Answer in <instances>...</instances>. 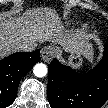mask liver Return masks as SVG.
Masks as SVG:
<instances>
[{"label": "liver", "mask_w": 108, "mask_h": 108, "mask_svg": "<svg viewBox=\"0 0 108 108\" xmlns=\"http://www.w3.org/2000/svg\"><path fill=\"white\" fill-rule=\"evenodd\" d=\"M54 41L66 51L78 52L85 57L92 55L88 38L67 36L58 15L50 8H31L21 17L0 18V56L19 50L20 45Z\"/></svg>", "instance_id": "obj_1"}]
</instances>
